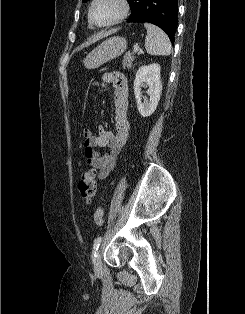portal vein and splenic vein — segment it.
Wrapping results in <instances>:
<instances>
[{"mask_svg": "<svg viewBox=\"0 0 245 314\" xmlns=\"http://www.w3.org/2000/svg\"><path fill=\"white\" fill-rule=\"evenodd\" d=\"M139 50H140V47L137 44H135L133 47V53H138Z\"/></svg>", "mask_w": 245, "mask_h": 314, "instance_id": "1", "label": "portal vein and splenic vein"}]
</instances>
